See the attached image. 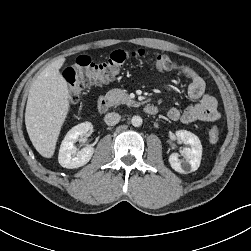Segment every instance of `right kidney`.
I'll return each instance as SVG.
<instances>
[{
	"instance_id": "1",
	"label": "right kidney",
	"mask_w": 251,
	"mask_h": 251,
	"mask_svg": "<svg viewBox=\"0 0 251 251\" xmlns=\"http://www.w3.org/2000/svg\"><path fill=\"white\" fill-rule=\"evenodd\" d=\"M92 128L93 126L90 122H84L69 130L61 143L58 155V161L62 167L68 169L79 168L90 161L94 153V148L88 146L77 152L74 143L78 141L79 137L84 136Z\"/></svg>"
}]
</instances>
